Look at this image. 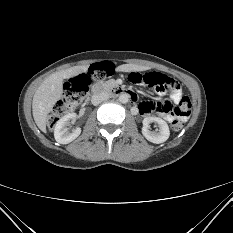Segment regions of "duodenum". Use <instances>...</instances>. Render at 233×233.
<instances>
[{"label": "duodenum", "instance_id": "410a0bca", "mask_svg": "<svg viewBox=\"0 0 233 233\" xmlns=\"http://www.w3.org/2000/svg\"><path fill=\"white\" fill-rule=\"evenodd\" d=\"M103 90H104V86H103V84L100 83V82L94 83V84L91 86V88H90V91H91L92 93H99V94H100ZM111 92H112V94L115 95V96L124 95V96H127V97H129V98H131V99H133V100L136 99V95H135L133 92L128 91V90L124 89V88L121 87V86H114V87H112V88H111Z\"/></svg>", "mask_w": 233, "mask_h": 233}]
</instances>
